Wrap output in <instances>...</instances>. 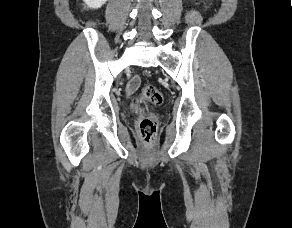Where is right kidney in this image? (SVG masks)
Instances as JSON below:
<instances>
[{
	"mask_svg": "<svg viewBox=\"0 0 292 228\" xmlns=\"http://www.w3.org/2000/svg\"><path fill=\"white\" fill-rule=\"evenodd\" d=\"M85 4L92 9H98L103 4H105L108 0H83Z\"/></svg>",
	"mask_w": 292,
	"mask_h": 228,
	"instance_id": "1",
	"label": "right kidney"
}]
</instances>
